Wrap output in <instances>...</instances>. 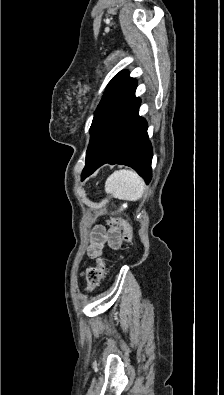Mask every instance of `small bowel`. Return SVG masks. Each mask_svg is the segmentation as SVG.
I'll return each instance as SVG.
<instances>
[{
    "mask_svg": "<svg viewBox=\"0 0 224 395\" xmlns=\"http://www.w3.org/2000/svg\"><path fill=\"white\" fill-rule=\"evenodd\" d=\"M107 235L102 227H97L92 234V240L88 247V255L91 258H96L102 253L104 243L106 242ZM120 243V237L116 233L110 235V244L117 246Z\"/></svg>",
    "mask_w": 224,
    "mask_h": 395,
    "instance_id": "c3829d8e",
    "label": "small bowel"
}]
</instances>
